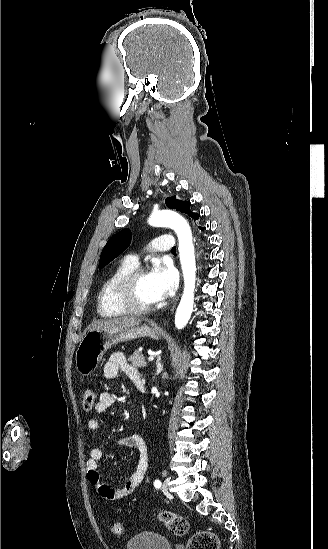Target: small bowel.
<instances>
[{
    "instance_id": "obj_1",
    "label": "small bowel",
    "mask_w": 328,
    "mask_h": 549,
    "mask_svg": "<svg viewBox=\"0 0 328 549\" xmlns=\"http://www.w3.org/2000/svg\"><path fill=\"white\" fill-rule=\"evenodd\" d=\"M120 372H123L132 381L135 377L140 376L137 368L127 361L123 353L114 352L107 359L103 367V374L106 379H114ZM114 402L115 398L111 393L102 392L94 406V411L98 414L105 413ZM99 427L100 424L97 419L88 420L87 428L90 431L95 432ZM114 445L127 447L138 453L135 469L121 488H113L102 481L98 462L102 458L103 452L99 447L91 449L90 457L86 463L89 481L93 485L96 494L107 502H114L131 495L143 481L148 468V449L144 438L140 434L133 433L122 437L116 440Z\"/></svg>"
}]
</instances>
